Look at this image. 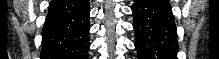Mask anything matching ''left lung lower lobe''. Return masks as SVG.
<instances>
[{"label": "left lung lower lobe", "instance_id": "1", "mask_svg": "<svg viewBox=\"0 0 219 59\" xmlns=\"http://www.w3.org/2000/svg\"><path fill=\"white\" fill-rule=\"evenodd\" d=\"M135 48L138 59H177L176 25L168 0H135Z\"/></svg>", "mask_w": 219, "mask_h": 59}]
</instances>
